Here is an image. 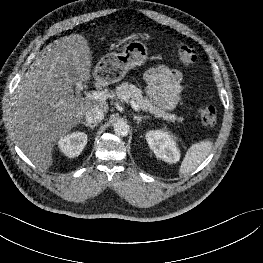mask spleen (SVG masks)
Listing matches in <instances>:
<instances>
[{
    "label": "spleen",
    "instance_id": "obj_1",
    "mask_svg": "<svg viewBox=\"0 0 263 263\" xmlns=\"http://www.w3.org/2000/svg\"><path fill=\"white\" fill-rule=\"evenodd\" d=\"M212 145L211 141L204 140L190 146L180 165L179 174H188L194 171L209 155Z\"/></svg>",
    "mask_w": 263,
    "mask_h": 263
}]
</instances>
